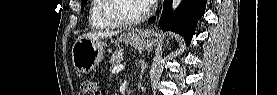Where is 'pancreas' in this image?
I'll list each match as a JSON object with an SVG mask.
<instances>
[{"instance_id":"pancreas-1","label":"pancreas","mask_w":277,"mask_h":95,"mask_svg":"<svg viewBox=\"0 0 277 95\" xmlns=\"http://www.w3.org/2000/svg\"><path fill=\"white\" fill-rule=\"evenodd\" d=\"M110 63L113 66L119 65L123 61V53L122 51H116L112 54L111 58L109 59Z\"/></svg>"}]
</instances>
